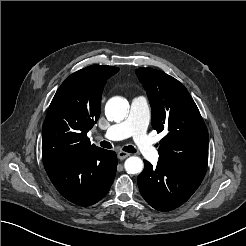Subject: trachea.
Segmentation results:
<instances>
[{"label":"trachea","mask_w":246,"mask_h":246,"mask_svg":"<svg viewBox=\"0 0 246 246\" xmlns=\"http://www.w3.org/2000/svg\"><path fill=\"white\" fill-rule=\"evenodd\" d=\"M100 145L103 148H107V149H111L112 148V145L109 142H107V141H102L100 143ZM123 150L126 151V152H129V153H135L136 152V149L133 146H125L123 148Z\"/></svg>","instance_id":"3493384b"}]
</instances>
